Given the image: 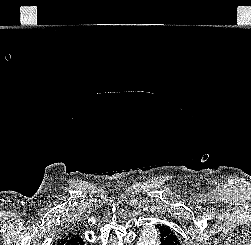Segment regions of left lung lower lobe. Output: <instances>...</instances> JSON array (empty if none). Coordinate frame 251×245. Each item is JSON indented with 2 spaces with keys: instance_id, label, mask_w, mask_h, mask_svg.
<instances>
[{
  "instance_id": "1",
  "label": "left lung lower lobe",
  "mask_w": 251,
  "mask_h": 245,
  "mask_svg": "<svg viewBox=\"0 0 251 245\" xmlns=\"http://www.w3.org/2000/svg\"><path fill=\"white\" fill-rule=\"evenodd\" d=\"M159 245H180L174 232L165 225H156Z\"/></svg>"
}]
</instances>
